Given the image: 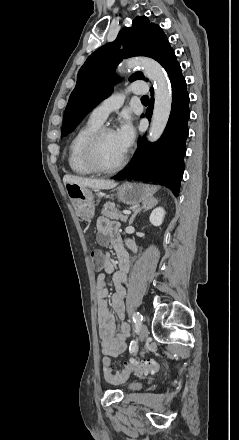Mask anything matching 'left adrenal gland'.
Instances as JSON below:
<instances>
[{"label": "left adrenal gland", "instance_id": "a2214340", "mask_svg": "<svg viewBox=\"0 0 239 440\" xmlns=\"http://www.w3.org/2000/svg\"><path fill=\"white\" fill-rule=\"evenodd\" d=\"M144 208H146L145 204H144L143 208H137V210H134V214H132V216L129 220V226H131V224H133L137 214H139V212H141V210H144Z\"/></svg>", "mask_w": 239, "mask_h": 440}]
</instances>
